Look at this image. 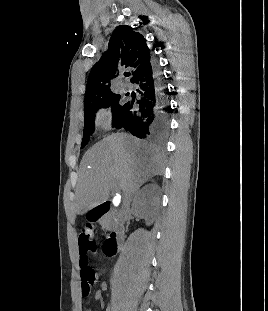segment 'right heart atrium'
<instances>
[{
    "mask_svg": "<svg viewBox=\"0 0 268 311\" xmlns=\"http://www.w3.org/2000/svg\"><path fill=\"white\" fill-rule=\"evenodd\" d=\"M97 122L103 128H109L111 125V115L107 110H101L97 114Z\"/></svg>",
    "mask_w": 268,
    "mask_h": 311,
    "instance_id": "1",
    "label": "right heart atrium"
}]
</instances>
